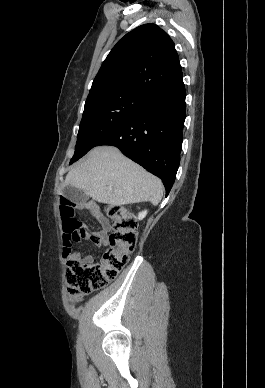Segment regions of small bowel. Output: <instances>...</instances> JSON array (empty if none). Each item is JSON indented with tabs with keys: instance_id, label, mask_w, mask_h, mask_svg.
Instances as JSON below:
<instances>
[{
	"instance_id": "obj_1",
	"label": "small bowel",
	"mask_w": 265,
	"mask_h": 388,
	"mask_svg": "<svg viewBox=\"0 0 265 388\" xmlns=\"http://www.w3.org/2000/svg\"><path fill=\"white\" fill-rule=\"evenodd\" d=\"M81 208L87 210L90 215L101 225V230L98 232L88 233L87 239L98 247H105L108 244V233L111 227L108 219L103 215L100 208L95 203L88 202L82 204ZM73 256L81 260L79 254L75 253ZM81 261L87 264H92L94 258L91 255H87Z\"/></svg>"
}]
</instances>
